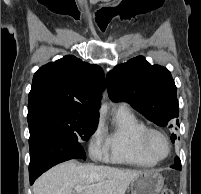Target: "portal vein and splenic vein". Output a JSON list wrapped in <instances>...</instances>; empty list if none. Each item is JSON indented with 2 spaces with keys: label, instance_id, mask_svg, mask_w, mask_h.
<instances>
[{
  "label": "portal vein and splenic vein",
  "instance_id": "1",
  "mask_svg": "<svg viewBox=\"0 0 201 194\" xmlns=\"http://www.w3.org/2000/svg\"><path fill=\"white\" fill-rule=\"evenodd\" d=\"M83 189H84L83 186H76V187L74 188V191L78 194V193H80Z\"/></svg>",
  "mask_w": 201,
  "mask_h": 194
}]
</instances>
